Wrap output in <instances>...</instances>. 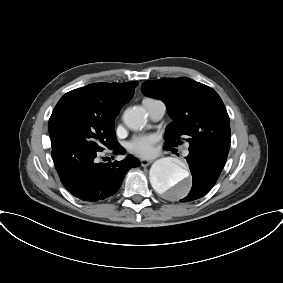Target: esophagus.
<instances>
[{
	"mask_svg": "<svg viewBox=\"0 0 283 283\" xmlns=\"http://www.w3.org/2000/svg\"><path fill=\"white\" fill-rule=\"evenodd\" d=\"M152 162H153L152 160H145V159L140 160V164L143 167L149 166Z\"/></svg>",
	"mask_w": 283,
	"mask_h": 283,
	"instance_id": "34e87169",
	"label": "esophagus"
}]
</instances>
